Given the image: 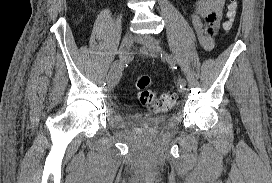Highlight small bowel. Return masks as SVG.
<instances>
[{"label":"small bowel","instance_id":"small-bowel-1","mask_svg":"<svg viewBox=\"0 0 272 183\" xmlns=\"http://www.w3.org/2000/svg\"><path fill=\"white\" fill-rule=\"evenodd\" d=\"M226 0H196L192 6L191 24L206 51L214 47L213 36L219 29Z\"/></svg>","mask_w":272,"mask_h":183}]
</instances>
